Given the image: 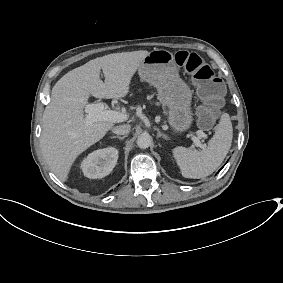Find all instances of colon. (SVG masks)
<instances>
[{
  "label": "colon",
  "instance_id": "colon-1",
  "mask_svg": "<svg viewBox=\"0 0 283 283\" xmlns=\"http://www.w3.org/2000/svg\"><path fill=\"white\" fill-rule=\"evenodd\" d=\"M177 64L184 68L197 86L202 104L198 109V121L203 128L216 120L223 100L224 86L213 69L196 53L179 51L175 55Z\"/></svg>",
  "mask_w": 283,
  "mask_h": 283
}]
</instances>
